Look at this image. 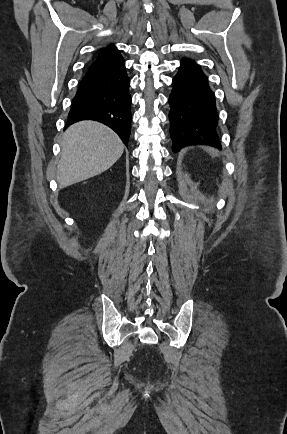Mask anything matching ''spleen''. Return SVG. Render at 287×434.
I'll return each instance as SVG.
<instances>
[{
    "instance_id": "3e777b00",
    "label": "spleen",
    "mask_w": 287,
    "mask_h": 434,
    "mask_svg": "<svg viewBox=\"0 0 287 434\" xmlns=\"http://www.w3.org/2000/svg\"><path fill=\"white\" fill-rule=\"evenodd\" d=\"M207 151L210 152L212 155H218V151L212 148H207Z\"/></svg>"
}]
</instances>
